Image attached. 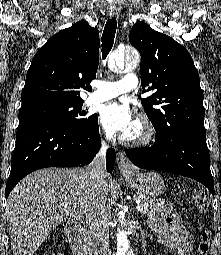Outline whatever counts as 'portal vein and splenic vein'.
I'll list each match as a JSON object with an SVG mask.
<instances>
[{
	"instance_id": "1",
	"label": "portal vein and splenic vein",
	"mask_w": 221,
	"mask_h": 255,
	"mask_svg": "<svg viewBox=\"0 0 221 255\" xmlns=\"http://www.w3.org/2000/svg\"><path fill=\"white\" fill-rule=\"evenodd\" d=\"M136 203H137V206L135 207V208H136V210H138V211H142L143 209L139 206L140 200H139V199H138V200H136Z\"/></svg>"
}]
</instances>
